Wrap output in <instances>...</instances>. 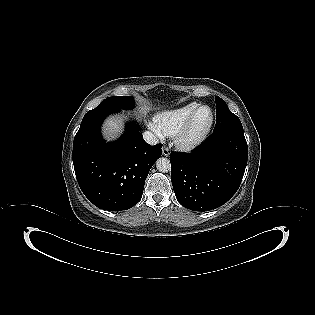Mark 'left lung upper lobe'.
Instances as JSON below:
<instances>
[{"mask_svg": "<svg viewBox=\"0 0 315 315\" xmlns=\"http://www.w3.org/2000/svg\"><path fill=\"white\" fill-rule=\"evenodd\" d=\"M216 102V125L213 133H218L224 130H239L243 131L240 119L233 114L226 103L218 96L215 97Z\"/></svg>", "mask_w": 315, "mask_h": 315, "instance_id": "obj_1", "label": "left lung upper lobe"}]
</instances>
